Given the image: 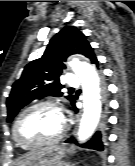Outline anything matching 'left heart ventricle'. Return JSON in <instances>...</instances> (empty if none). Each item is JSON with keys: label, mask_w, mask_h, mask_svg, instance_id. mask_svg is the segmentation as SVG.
<instances>
[{"label": "left heart ventricle", "mask_w": 135, "mask_h": 166, "mask_svg": "<svg viewBox=\"0 0 135 166\" xmlns=\"http://www.w3.org/2000/svg\"><path fill=\"white\" fill-rule=\"evenodd\" d=\"M61 114L50 107L34 109L26 113L17 128L18 137L25 143H37L55 138L61 131Z\"/></svg>", "instance_id": "b2bd125f"}]
</instances>
